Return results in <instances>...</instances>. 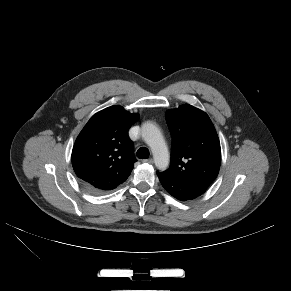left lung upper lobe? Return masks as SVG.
Wrapping results in <instances>:
<instances>
[{"label": "left lung upper lobe", "instance_id": "5c2ea615", "mask_svg": "<svg viewBox=\"0 0 291 291\" xmlns=\"http://www.w3.org/2000/svg\"><path fill=\"white\" fill-rule=\"evenodd\" d=\"M173 143L165 174L207 189L221 164L220 142L208 115L189 104L166 112Z\"/></svg>", "mask_w": 291, "mask_h": 291}]
</instances>
